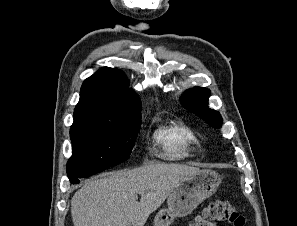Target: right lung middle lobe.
Here are the masks:
<instances>
[{
	"label": "right lung middle lobe",
	"mask_w": 297,
	"mask_h": 226,
	"mask_svg": "<svg viewBox=\"0 0 297 226\" xmlns=\"http://www.w3.org/2000/svg\"><path fill=\"white\" fill-rule=\"evenodd\" d=\"M141 125L139 108L125 109L117 125L73 123L70 130L72 157L67 175L72 183L127 160Z\"/></svg>",
	"instance_id": "obj_1"
}]
</instances>
